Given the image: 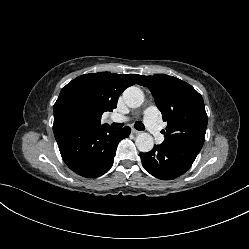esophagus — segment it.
I'll return each instance as SVG.
<instances>
[{"mask_svg":"<svg viewBox=\"0 0 249 249\" xmlns=\"http://www.w3.org/2000/svg\"><path fill=\"white\" fill-rule=\"evenodd\" d=\"M131 132H132L133 134H136V135L141 133V131L136 130V129H134V128L131 129Z\"/></svg>","mask_w":249,"mask_h":249,"instance_id":"34e87169","label":"esophagus"}]
</instances>
